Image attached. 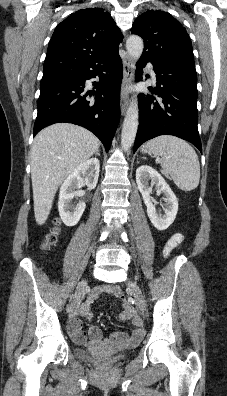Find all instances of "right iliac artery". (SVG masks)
<instances>
[{
    "label": "right iliac artery",
    "mask_w": 227,
    "mask_h": 396,
    "mask_svg": "<svg viewBox=\"0 0 227 396\" xmlns=\"http://www.w3.org/2000/svg\"><path fill=\"white\" fill-rule=\"evenodd\" d=\"M69 309H70V305H68V307H67V311H69Z\"/></svg>",
    "instance_id": "obj_1"
}]
</instances>
